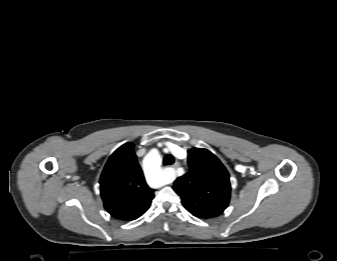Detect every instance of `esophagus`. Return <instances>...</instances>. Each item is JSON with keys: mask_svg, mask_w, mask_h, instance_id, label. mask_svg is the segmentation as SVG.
I'll list each match as a JSON object with an SVG mask.
<instances>
[{"mask_svg": "<svg viewBox=\"0 0 337 261\" xmlns=\"http://www.w3.org/2000/svg\"><path fill=\"white\" fill-rule=\"evenodd\" d=\"M180 166V164L178 163V162H176L174 165H173V168H177V167H179Z\"/></svg>", "mask_w": 337, "mask_h": 261, "instance_id": "34e87169", "label": "esophagus"}]
</instances>
